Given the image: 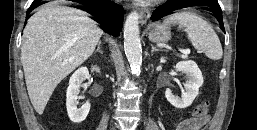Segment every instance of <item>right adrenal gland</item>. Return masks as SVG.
<instances>
[{
  "instance_id": "1",
  "label": "right adrenal gland",
  "mask_w": 257,
  "mask_h": 130,
  "mask_svg": "<svg viewBox=\"0 0 257 130\" xmlns=\"http://www.w3.org/2000/svg\"><path fill=\"white\" fill-rule=\"evenodd\" d=\"M97 52H99L101 55H103V52L101 50V42H98L97 49L95 50L94 54H96Z\"/></svg>"
}]
</instances>
